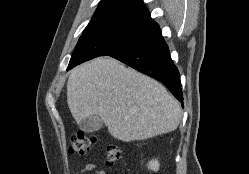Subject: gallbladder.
Returning <instances> with one entry per match:
<instances>
[{
    "instance_id": "obj_1",
    "label": "gallbladder",
    "mask_w": 249,
    "mask_h": 174,
    "mask_svg": "<svg viewBox=\"0 0 249 174\" xmlns=\"http://www.w3.org/2000/svg\"><path fill=\"white\" fill-rule=\"evenodd\" d=\"M80 128L85 132H95L103 126V120L97 115H91L81 120Z\"/></svg>"
}]
</instances>
